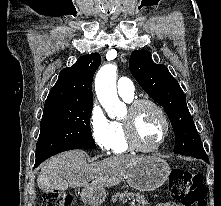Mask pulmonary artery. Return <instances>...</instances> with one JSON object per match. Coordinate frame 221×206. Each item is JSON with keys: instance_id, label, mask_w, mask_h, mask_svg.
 <instances>
[{"instance_id": "obj_1", "label": "pulmonary artery", "mask_w": 221, "mask_h": 206, "mask_svg": "<svg viewBox=\"0 0 221 206\" xmlns=\"http://www.w3.org/2000/svg\"><path fill=\"white\" fill-rule=\"evenodd\" d=\"M117 91L122 98L133 99L134 97V85L132 81L126 77H122L118 80Z\"/></svg>"}]
</instances>
